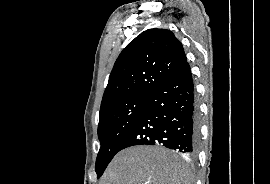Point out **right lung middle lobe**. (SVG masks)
Listing matches in <instances>:
<instances>
[{"label":"right lung middle lobe","instance_id":"1","mask_svg":"<svg viewBox=\"0 0 270 184\" xmlns=\"http://www.w3.org/2000/svg\"><path fill=\"white\" fill-rule=\"evenodd\" d=\"M147 96H130L100 109L98 137L101 144L95 170L99 178L142 112Z\"/></svg>","mask_w":270,"mask_h":184}]
</instances>
